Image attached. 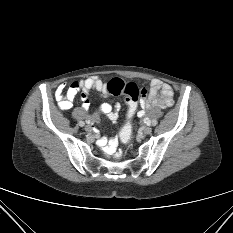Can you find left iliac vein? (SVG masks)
I'll return each mask as SVG.
<instances>
[{"instance_id": "obj_1", "label": "left iliac vein", "mask_w": 233, "mask_h": 233, "mask_svg": "<svg viewBox=\"0 0 233 233\" xmlns=\"http://www.w3.org/2000/svg\"><path fill=\"white\" fill-rule=\"evenodd\" d=\"M151 132H152V128L150 126H146L143 130V133L146 135L151 134Z\"/></svg>"}]
</instances>
